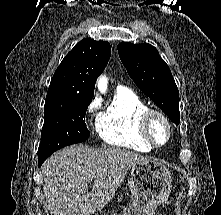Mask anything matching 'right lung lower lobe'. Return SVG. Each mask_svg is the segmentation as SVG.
Wrapping results in <instances>:
<instances>
[{"label":"right lung lower lobe","mask_w":221,"mask_h":215,"mask_svg":"<svg viewBox=\"0 0 221 215\" xmlns=\"http://www.w3.org/2000/svg\"><path fill=\"white\" fill-rule=\"evenodd\" d=\"M48 157L38 158V166L40 167L42 163L47 159Z\"/></svg>","instance_id":"1"}]
</instances>
